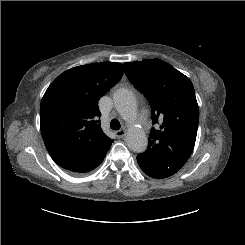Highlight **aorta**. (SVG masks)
I'll list each match as a JSON object with an SVG mask.
<instances>
[{
  "mask_svg": "<svg viewBox=\"0 0 245 245\" xmlns=\"http://www.w3.org/2000/svg\"><path fill=\"white\" fill-rule=\"evenodd\" d=\"M113 99L116 110L124 120L131 121L136 117L137 102L132 91L124 88L118 89ZM126 143L132 151L141 153L146 150L148 140L140 127L132 125L127 130Z\"/></svg>",
  "mask_w": 245,
  "mask_h": 245,
  "instance_id": "aorta-1",
  "label": "aorta"
}]
</instances>
